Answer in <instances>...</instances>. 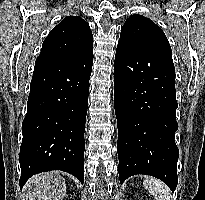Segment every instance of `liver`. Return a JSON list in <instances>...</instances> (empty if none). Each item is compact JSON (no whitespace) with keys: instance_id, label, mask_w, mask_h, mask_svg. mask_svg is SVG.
<instances>
[{"instance_id":"liver-1","label":"liver","mask_w":205,"mask_h":200,"mask_svg":"<svg viewBox=\"0 0 205 200\" xmlns=\"http://www.w3.org/2000/svg\"><path fill=\"white\" fill-rule=\"evenodd\" d=\"M66 182L59 172L34 175L24 186V196L29 200H63Z\"/></svg>"}]
</instances>
